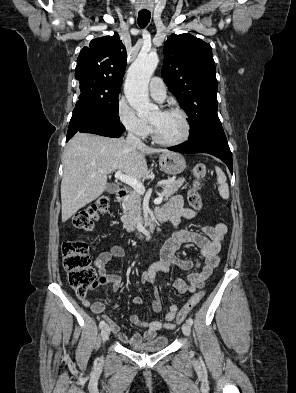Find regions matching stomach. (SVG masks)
Returning a JSON list of instances; mask_svg holds the SVG:
<instances>
[{
  "label": "stomach",
  "instance_id": "1",
  "mask_svg": "<svg viewBox=\"0 0 296 393\" xmlns=\"http://www.w3.org/2000/svg\"><path fill=\"white\" fill-rule=\"evenodd\" d=\"M160 168L169 175H177L186 168L184 157L175 152H165L159 157Z\"/></svg>",
  "mask_w": 296,
  "mask_h": 393
}]
</instances>
